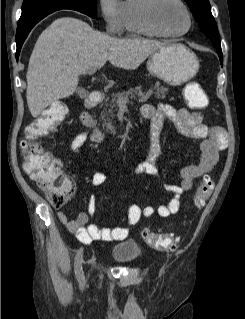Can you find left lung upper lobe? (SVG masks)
Instances as JSON below:
<instances>
[{"mask_svg":"<svg viewBox=\"0 0 245 319\" xmlns=\"http://www.w3.org/2000/svg\"><path fill=\"white\" fill-rule=\"evenodd\" d=\"M191 8L203 33L211 40L216 49H221L218 27L211 13L209 0H185Z\"/></svg>","mask_w":245,"mask_h":319,"instance_id":"1","label":"left lung upper lobe"}]
</instances>
